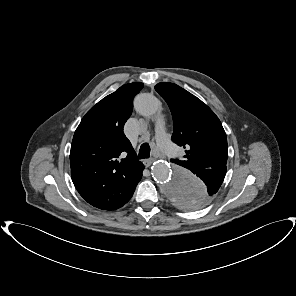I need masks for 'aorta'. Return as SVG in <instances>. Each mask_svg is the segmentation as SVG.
Listing matches in <instances>:
<instances>
[{
	"mask_svg": "<svg viewBox=\"0 0 296 296\" xmlns=\"http://www.w3.org/2000/svg\"><path fill=\"white\" fill-rule=\"evenodd\" d=\"M135 110L152 117L160 109V101L150 93H141L134 100ZM154 179L161 184L167 200L183 211L198 209L205 200L204 184L185 167L157 161L152 166Z\"/></svg>",
	"mask_w": 296,
	"mask_h": 296,
	"instance_id": "obj_1",
	"label": "aorta"
}]
</instances>
